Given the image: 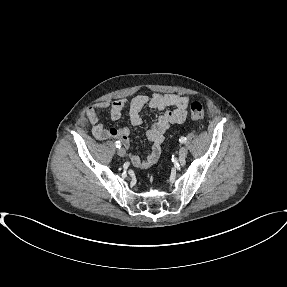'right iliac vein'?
I'll return each instance as SVG.
<instances>
[{
	"instance_id": "obj_1",
	"label": "right iliac vein",
	"mask_w": 287,
	"mask_h": 287,
	"mask_svg": "<svg viewBox=\"0 0 287 287\" xmlns=\"http://www.w3.org/2000/svg\"><path fill=\"white\" fill-rule=\"evenodd\" d=\"M117 154L120 156V157H124L126 155V151L124 148H119L118 151H117Z\"/></svg>"
}]
</instances>
